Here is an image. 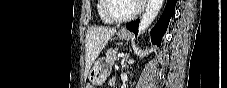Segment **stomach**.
Instances as JSON below:
<instances>
[{"instance_id": "obj_1", "label": "stomach", "mask_w": 227, "mask_h": 88, "mask_svg": "<svg viewBox=\"0 0 227 88\" xmlns=\"http://www.w3.org/2000/svg\"><path fill=\"white\" fill-rule=\"evenodd\" d=\"M118 37L121 40L128 41L131 38V34L126 30H121L118 33ZM107 76L108 69L103 66L102 60H98L89 71L88 78L93 85H102L106 81Z\"/></svg>"}]
</instances>
